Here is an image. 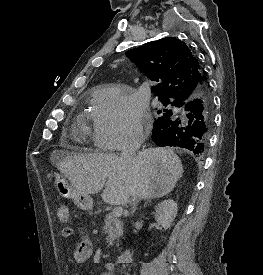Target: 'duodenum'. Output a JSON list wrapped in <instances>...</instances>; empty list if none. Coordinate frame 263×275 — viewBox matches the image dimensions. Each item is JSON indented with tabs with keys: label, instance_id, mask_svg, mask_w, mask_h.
Instances as JSON below:
<instances>
[{
	"label": "duodenum",
	"instance_id": "duodenum-1",
	"mask_svg": "<svg viewBox=\"0 0 263 275\" xmlns=\"http://www.w3.org/2000/svg\"><path fill=\"white\" fill-rule=\"evenodd\" d=\"M132 258V251L130 248H125L120 255H118L116 262L117 263H127Z\"/></svg>",
	"mask_w": 263,
	"mask_h": 275
}]
</instances>
